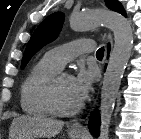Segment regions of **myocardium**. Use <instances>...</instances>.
<instances>
[{"label":"myocardium","instance_id":"f54148a6","mask_svg":"<svg viewBox=\"0 0 141 139\" xmlns=\"http://www.w3.org/2000/svg\"><path fill=\"white\" fill-rule=\"evenodd\" d=\"M62 76H69V75L63 72H57L48 81L45 88V99L48 108L53 115L70 116L80 111V109L82 108V103H79L78 105L68 109H64L60 107L57 100V86H58V81Z\"/></svg>","mask_w":141,"mask_h":139}]
</instances>
